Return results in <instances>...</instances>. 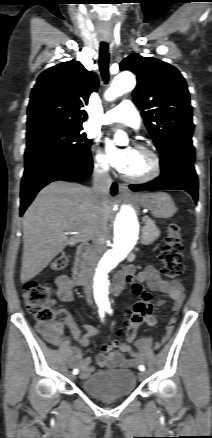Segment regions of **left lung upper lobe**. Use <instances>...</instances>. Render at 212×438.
<instances>
[{
	"label": "left lung upper lobe",
	"mask_w": 212,
	"mask_h": 438,
	"mask_svg": "<svg viewBox=\"0 0 212 438\" xmlns=\"http://www.w3.org/2000/svg\"><path fill=\"white\" fill-rule=\"evenodd\" d=\"M121 70L137 75L134 103L159 152L168 144L191 140L194 124L187 84L172 65L153 57L132 54L120 63Z\"/></svg>",
	"instance_id": "obj_1"
}]
</instances>
